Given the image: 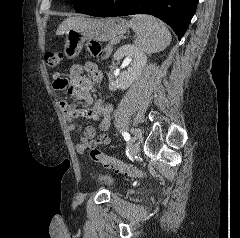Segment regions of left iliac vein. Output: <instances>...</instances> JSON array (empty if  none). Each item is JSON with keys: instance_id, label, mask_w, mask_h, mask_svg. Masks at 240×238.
<instances>
[{"instance_id": "4c4485c4", "label": "left iliac vein", "mask_w": 240, "mask_h": 238, "mask_svg": "<svg viewBox=\"0 0 240 238\" xmlns=\"http://www.w3.org/2000/svg\"><path fill=\"white\" fill-rule=\"evenodd\" d=\"M138 145L137 146H132L131 150H130V156H134L135 154H137L140 150V142L138 141Z\"/></svg>"}]
</instances>
